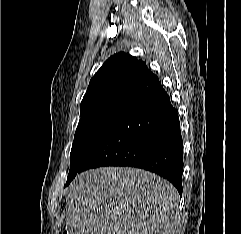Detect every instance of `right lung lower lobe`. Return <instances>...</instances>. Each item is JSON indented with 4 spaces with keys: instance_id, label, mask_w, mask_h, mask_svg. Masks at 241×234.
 Returning <instances> with one entry per match:
<instances>
[{
    "instance_id": "1",
    "label": "right lung lower lobe",
    "mask_w": 241,
    "mask_h": 234,
    "mask_svg": "<svg viewBox=\"0 0 241 234\" xmlns=\"http://www.w3.org/2000/svg\"><path fill=\"white\" fill-rule=\"evenodd\" d=\"M182 150L178 114L161 87L101 140L80 172L101 166L142 168L169 180L182 195Z\"/></svg>"
}]
</instances>
